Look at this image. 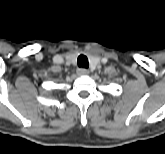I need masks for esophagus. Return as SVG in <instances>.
<instances>
[{"instance_id":"esophagus-1","label":"esophagus","mask_w":165,"mask_h":154,"mask_svg":"<svg viewBox=\"0 0 165 154\" xmlns=\"http://www.w3.org/2000/svg\"><path fill=\"white\" fill-rule=\"evenodd\" d=\"M77 73H78V75L83 76V75H88L89 71L86 68H78Z\"/></svg>"}]
</instances>
